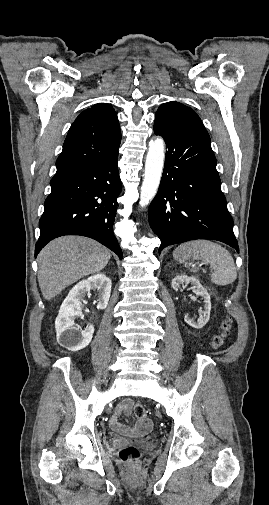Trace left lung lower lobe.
Returning <instances> with one entry per match:
<instances>
[{
	"label": "left lung lower lobe",
	"instance_id": "1",
	"mask_svg": "<svg viewBox=\"0 0 269 505\" xmlns=\"http://www.w3.org/2000/svg\"><path fill=\"white\" fill-rule=\"evenodd\" d=\"M166 142L163 176L149 208V223L164 247L194 239L224 242L239 252L233 220L221 191L216 158L202 124L156 118Z\"/></svg>",
	"mask_w": 269,
	"mask_h": 505
}]
</instances>
